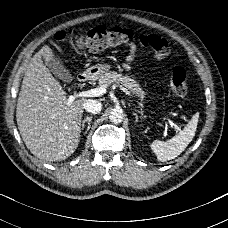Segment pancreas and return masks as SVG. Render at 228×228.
I'll list each match as a JSON object with an SVG mask.
<instances>
[{
    "mask_svg": "<svg viewBox=\"0 0 228 228\" xmlns=\"http://www.w3.org/2000/svg\"><path fill=\"white\" fill-rule=\"evenodd\" d=\"M99 85H105L109 87L112 84H122L128 88L132 94L144 98L145 92L141 89L140 85L129 76H124L115 71L106 72L99 77Z\"/></svg>",
    "mask_w": 228,
    "mask_h": 228,
    "instance_id": "1",
    "label": "pancreas"
}]
</instances>
